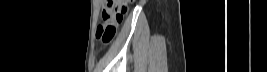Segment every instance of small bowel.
Instances as JSON below:
<instances>
[{"instance_id":"obj_1","label":"small bowel","mask_w":267,"mask_h":72,"mask_svg":"<svg viewBox=\"0 0 267 72\" xmlns=\"http://www.w3.org/2000/svg\"><path fill=\"white\" fill-rule=\"evenodd\" d=\"M105 7H106V5H105ZM106 16H107V10H103V12H102V18H104Z\"/></svg>"}]
</instances>
